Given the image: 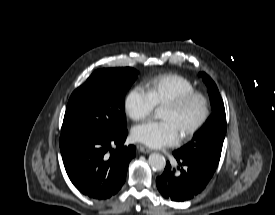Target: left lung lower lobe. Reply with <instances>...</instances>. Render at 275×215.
Wrapping results in <instances>:
<instances>
[{
	"instance_id": "obj_1",
	"label": "left lung lower lobe",
	"mask_w": 275,
	"mask_h": 215,
	"mask_svg": "<svg viewBox=\"0 0 275 215\" xmlns=\"http://www.w3.org/2000/svg\"><path fill=\"white\" fill-rule=\"evenodd\" d=\"M173 155L178 166L174 168L166 163L163 174L156 178L157 188L166 199L178 202L190 200L206 187L216 166L180 156L176 151Z\"/></svg>"
}]
</instances>
